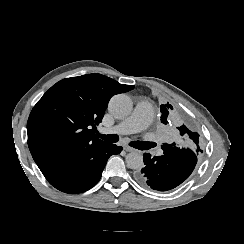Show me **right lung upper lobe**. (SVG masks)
<instances>
[{"label": "right lung upper lobe", "instance_id": "1", "mask_svg": "<svg viewBox=\"0 0 244 244\" xmlns=\"http://www.w3.org/2000/svg\"><path fill=\"white\" fill-rule=\"evenodd\" d=\"M133 88L97 73L57 82L37 102L27 122L28 146L34 161L103 143L95 131L110 98Z\"/></svg>", "mask_w": 244, "mask_h": 244}]
</instances>
